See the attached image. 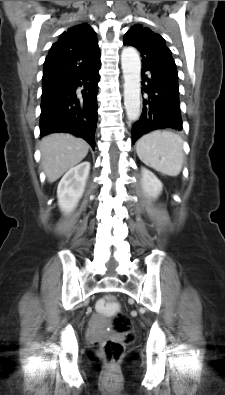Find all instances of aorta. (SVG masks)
Segmentation results:
<instances>
[{
	"label": "aorta",
	"instance_id": "aorta-1",
	"mask_svg": "<svg viewBox=\"0 0 225 395\" xmlns=\"http://www.w3.org/2000/svg\"><path fill=\"white\" fill-rule=\"evenodd\" d=\"M124 78V105L129 120L140 117L141 60L137 50L126 47L121 54Z\"/></svg>",
	"mask_w": 225,
	"mask_h": 395
}]
</instances>
